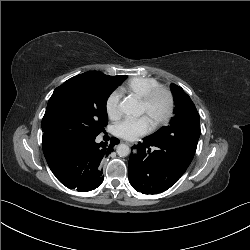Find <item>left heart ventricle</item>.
I'll use <instances>...</instances> for the list:
<instances>
[{
	"label": "left heart ventricle",
	"instance_id": "obj_1",
	"mask_svg": "<svg viewBox=\"0 0 250 250\" xmlns=\"http://www.w3.org/2000/svg\"><path fill=\"white\" fill-rule=\"evenodd\" d=\"M167 108V101L163 95H159L147 109L141 104V112L146 114L151 121L161 117Z\"/></svg>",
	"mask_w": 250,
	"mask_h": 250
}]
</instances>
